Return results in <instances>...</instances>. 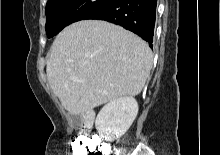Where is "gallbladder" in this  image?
<instances>
[{
  "mask_svg": "<svg viewBox=\"0 0 220 155\" xmlns=\"http://www.w3.org/2000/svg\"><path fill=\"white\" fill-rule=\"evenodd\" d=\"M72 120H73L74 126H76V124L78 123V117L77 116H72Z\"/></svg>",
  "mask_w": 220,
  "mask_h": 155,
  "instance_id": "bac80fb5",
  "label": "gallbladder"
}]
</instances>
